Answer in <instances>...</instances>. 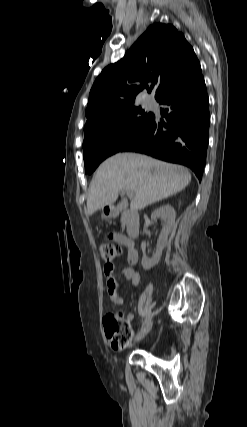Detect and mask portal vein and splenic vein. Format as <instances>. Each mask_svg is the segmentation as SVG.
<instances>
[{
    "instance_id": "obj_1",
    "label": "portal vein and splenic vein",
    "mask_w": 247,
    "mask_h": 427,
    "mask_svg": "<svg viewBox=\"0 0 247 427\" xmlns=\"http://www.w3.org/2000/svg\"><path fill=\"white\" fill-rule=\"evenodd\" d=\"M127 195H128V196H132V193H131V192H127Z\"/></svg>"
}]
</instances>
